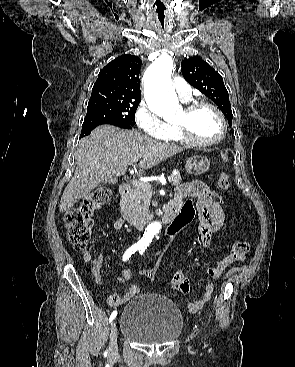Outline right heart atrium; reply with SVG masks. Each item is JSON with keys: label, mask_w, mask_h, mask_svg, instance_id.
I'll list each match as a JSON object with an SVG mask.
<instances>
[{"label": "right heart atrium", "mask_w": 295, "mask_h": 367, "mask_svg": "<svg viewBox=\"0 0 295 367\" xmlns=\"http://www.w3.org/2000/svg\"><path fill=\"white\" fill-rule=\"evenodd\" d=\"M135 120L143 132L157 139H166L172 129V125L162 120L154 109L145 102L139 104Z\"/></svg>", "instance_id": "right-heart-atrium-1"}]
</instances>
